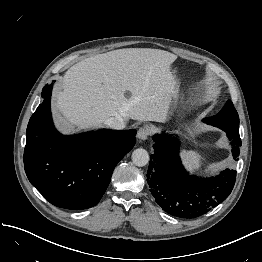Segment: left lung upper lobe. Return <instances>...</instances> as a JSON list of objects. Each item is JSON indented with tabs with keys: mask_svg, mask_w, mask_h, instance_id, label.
Masks as SVG:
<instances>
[{
	"mask_svg": "<svg viewBox=\"0 0 262 262\" xmlns=\"http://www.w3.org/2000/svg\"><path fill=\"white\" fill-rule=\"evenodd\" d=\"M203 121L219 128L239 130V116L230 100L227 101L226 105L217 115L205 118Z\"/></svg>",
	"mask_w": 262,
	"mask_h": 262,
	"instance_id": "obj_1",
	"label": "left lung upper lobe"
}]
</instances>
